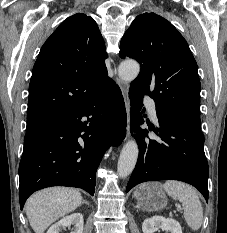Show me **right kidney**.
<instances>
[{"label": "right kidney", "instance_id": "right-kidney-1", "mask_svg": "<svg viewBox=\"0 0 227 233\" xmlns=\"http://www.w3.org/2000/svg\"><path fill=\"white\" fill-rule=\"evenodd\" d=\"M83 224L84 220L82 214L73 213L53 224L46 233H59L61 228L70 227L71 225H74V231H72L71 233H83Z\"/></svg>", "mask_w": 227, "mask_h": 233}]
</instances>
